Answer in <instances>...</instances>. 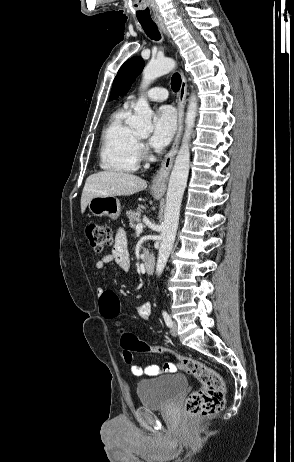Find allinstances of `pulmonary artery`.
<instances>
[{
	"label": "pulmonary artery",
	"instance_id": "pulmonary-artery-1",
	"mask_svg": "<svg viewBox=\"0 0 294 462\" xmlns=\"http://www.w3.org/2000/svg\"><path fill=\"white\" fill-rule=\"evenodd\" d=\"M168 90L163 87H153L145 92L146 98L151 101H163L168 97ZM135 101L134 96H129L125 102V105H130Z\"/></svg>",
	"mask_w": 294,
	"mask_h": 462
}]
</instances>
